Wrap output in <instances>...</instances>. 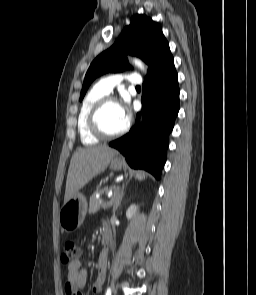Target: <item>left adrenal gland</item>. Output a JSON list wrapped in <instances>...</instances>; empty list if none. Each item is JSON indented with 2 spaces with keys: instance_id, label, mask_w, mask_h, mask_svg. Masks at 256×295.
<instances>
[{
  "instance_id": "1",
  "label": "left adrenal gland",
  "mask_w": 256,
  "mask_h": 295,
  "mask_svg": "<svg viewBox=\"0 0 256 295\" xmlns=\"http://www.w3.org/2000/svg\"><path fill=\"white\" fill-rule=\"evenodd\" d=\"M124 195L123 189L121 191H118L117 196L114 200V205H113V211L115 212L118 207L121 205L122 197Z\"/></svg>"
}]
</instances>
